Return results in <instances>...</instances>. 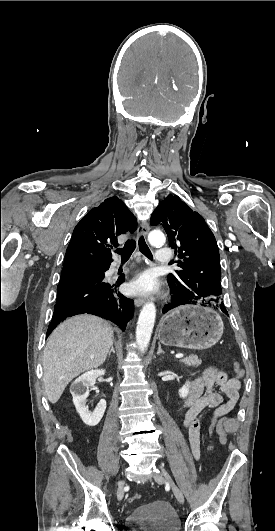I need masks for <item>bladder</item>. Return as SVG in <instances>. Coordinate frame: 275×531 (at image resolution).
<instances>
[{"label": "bladder", "mask_w": 275, "mask_h": 531, "mask_svg": "<svg viewBox=\"0 0 275 531\" xmlns=\"http://www.w3.org/2000/svg\"><path fill=\"white\" fill-rule=\"evenodd\" d=\"M127 526L134 531H181L179 516L172 505L165 501L135 507Z\"/></svg>", "instance_id": "bladder-1"}]
</instances>
